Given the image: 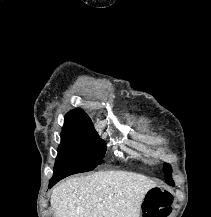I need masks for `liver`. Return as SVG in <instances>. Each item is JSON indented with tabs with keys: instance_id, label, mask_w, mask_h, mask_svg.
<instances>
[{
	"instance_id": "6515ba94",
	"label": "liver",
	"mask_w": 211,
	"mask_h": 217,
	"mask_svg": "<svg viewBox=\"0 0 211 217\" xmlns=\"http://www.w3.org/2000/svg\"><path fill=\"white\" fill-rule=\"evenodd\" d=\"M155 186L141 174L100 171L59 184L50 202L55 217H139L147 192Z\"/></svg>"
}]
</instances>
